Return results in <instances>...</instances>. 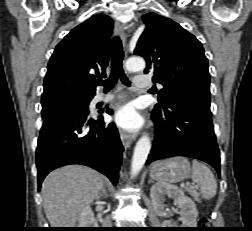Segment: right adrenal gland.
<instances>
[{
	"instance_id": "1",
	"label": "right adrenal gland",
	"mask_w": 252,
	"mask_h": 231,
	"mask_svg": "<svg viewBox=\"0 0 252 231\" xmlns=\"http://www.w3.org/2000/svg\"><path fill=\"white\" fill-rule=\"evenodd\" d=\"M103 196L108 197L105 187H103L102 192L99 194L98 198L100 199Z\"/></svg>"
}]
</instances>
